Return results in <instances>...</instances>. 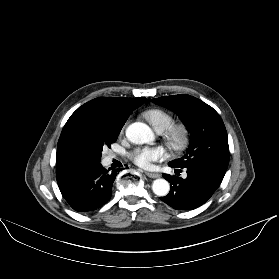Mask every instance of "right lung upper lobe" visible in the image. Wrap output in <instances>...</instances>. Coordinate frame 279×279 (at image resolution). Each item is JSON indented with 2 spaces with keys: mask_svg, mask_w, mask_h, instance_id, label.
<instances>
[{
  "mask_svg": "<svg viewBox=\"0 0 279 279\" xmlns=\"http://www.w3.org/2000/svg\"><path fill=\"white\" fill-rule=\"evenodd\" d=\"M146 98L99 97L79 107L61 132L56 154V174L74 165L83 164L77 153L79 138L89 129L106 127L122 129L133 110Z\"/></svg>",
  "mask_w": 279,
  "mask_h": 279,
  "instance_id": "1",
  "label": "right lung upper lobe"
}]
</instances>
